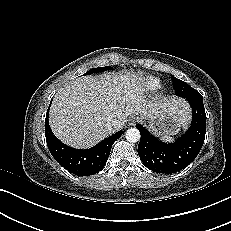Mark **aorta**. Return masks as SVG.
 I'll return each mask as SVG.
<instances>
[{
	"label": "aorta",
	"mask_w": 231,
	"mask_h": 231,
	"mask_svg": "<svg viewBox=\"0 0 231 231\" xmlns=\"http://www.w3.org/2000/svg\"><path fill=\"white\" fill-rule=\"evenodd\" d=\"M126 139L130 143H135L140 140V131L136 128H130L126 131Z\"/></svg>",
	"instance_id": "762f6f07"
}]
</instances>
